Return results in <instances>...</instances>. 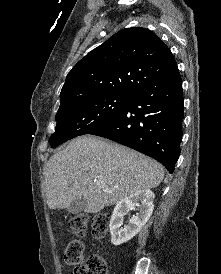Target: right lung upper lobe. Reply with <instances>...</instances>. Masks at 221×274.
<instances>
[{
	"label": "right lung upper lobe",
	"instance_id": "right-lung-upper-lobe-1",
	"mask_svg": "<svg viewBox=\"0 0 221 274\" xmlns=\"http://www.w3.org/2000/svg\"><path fill=\"white\" fill-rule=\"evenodd\" d=\"M176 64L170 49L149 29H123L72 68L60 101L112 94L132 96Z\"/></svg>",
	"mask_w": 221,
	"mask_h": 274
}]
</instances>
